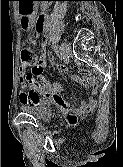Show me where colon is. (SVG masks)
<instances>
[{
  "mask_svg": "<svg viewBox=\"0 0 123 167\" xmlns=\"http://www.w3.org/2000/svg\"><path fill=\"white\" fill-rule=\"evenodd\" d=\"M43 21H44V16L41 15L39 19L37 20L38 28H42ZM20 56H21L22 65L24 67H32L33 69L37 68L39 61L33 49L29 47L23 48L21 50Z\"/></svg>",
  "mask_w": 123,
  "mask_h": 167,
  "instance_id": "5ec220e1",
  "label": "colon"
}]
</instances>
